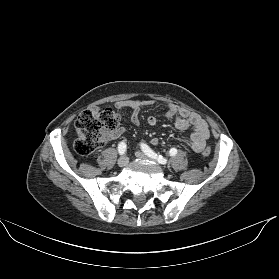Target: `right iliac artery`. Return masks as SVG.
I'll list each match as a JSON object with an SVG mask.
<instances>
[{"label":"right iliac artery","mask_w":279,"mask_h":279,"mask_svg":"<svg viewBox=\"0 0 279 279\" xmlns=\"http://www.w3.org/2000/svg\"><path fill=\"white\" fill-rule=\"evenodd\" d=\"M127 150V146H126V143L125 142H120L119 145H118V152L120 155H123L125 154Z\"/></svg>","instance_id":"obj_1"}]
</instances>
